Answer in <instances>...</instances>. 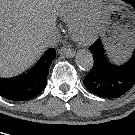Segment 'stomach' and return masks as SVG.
<instances>
[{
    "mask_svg": "<svg viewBox=\"0 0 135 135\" xmlns=\"http://www.w3.org/2000/svg\"><path fill=\"white\" fill-rule=\"evenodd\" d=\"M104 38L109 50L116 56L128 53L135 43V22L128 10L107 7L103 15Z\"/></svg>",
    "mask_w": 135,
    "mask_h": 135,
    "instance_id": "0dacf381",
    "label": "stomach"
}]
</instances>
